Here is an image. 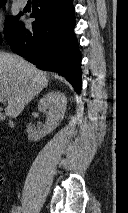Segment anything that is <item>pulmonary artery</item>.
I'll list each match as a JSON object with an SVG mask.
<instances>
[{
    "label": "pulmonary artery",
    "mask_w": 128,
    "mask_h": 213,
    "mask_svg": "<svg viewBox=\"0 0 128 213\" xmlns=\"http://www.w3.org/2000/svg\"><path fill=\"white\" fill-rule=\"evenodd\" d=\"M28 0H17V4L19 7L23 8L26 6Z\"/></svg>",
    "instance_id": "e3ab8cb5"
}]
</instances>
